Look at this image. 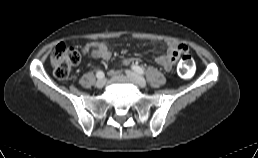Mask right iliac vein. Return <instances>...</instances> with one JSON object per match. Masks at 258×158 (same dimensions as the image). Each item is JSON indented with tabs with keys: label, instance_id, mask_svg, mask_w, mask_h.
Returning a JSON list of instances; mask_svg holds the SVG:
<instances>
[{
	"label": "right iliac vein",
	"instance_id": "right-iliac-vein-1",
	"mask_svg": "<svg viewBox=\"0 0 258 158\" xmlns=\"http://www.w3.org/2000/svg\"><path fill=\"white\" fill-rule=\"evenodd\" d=\"M105 85V79H99L97 82H96V87L101 89L103 88Z\"/></svg>",
	"mask_w": 258,
	"mask_h": 158
}]
</instances>
